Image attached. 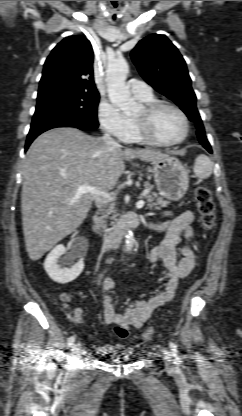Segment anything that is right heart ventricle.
Wrapping results in <instances>:
<instances>
[{
    "label": "right heart ventricle",
    "instance_id": "right-heart-ventricle-1",
    "mask_svg": "<svg viewBox=\"0 0 242 416\" xmlns=\"http://www.w3.org/2000/svg\"><path fill=\"white\" fill-rule=\"evenodd\" d=\"M137 99L140 100L141 102L145 103V104L155 101V98L152 94L150 96H147V97H137ZM130 121H131V132H130V135L127 138L126 141H129V142H132V143H143V141L141 140V138H140V136L137 132L136 125H135L134 121L133 120H130Z\"/></svg>",
    "mask_w": 242,
    "mask_h": 416
}]
</instances>
